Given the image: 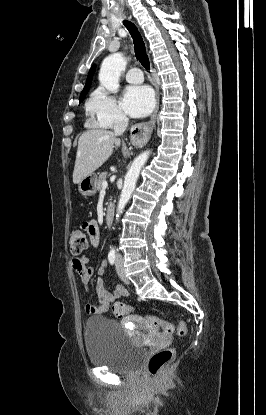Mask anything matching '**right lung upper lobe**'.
I'll return each mask as SVG.
<instances>
[{"label": "right lung upper lobe", "instance_id": "cb5924a9", "mask_svg": "<svg viewBox=\"0 0 266 415\" xmlns=\"http://www.w3.org/2000/svg\"><path fill=\"white\" fill-rule=\"evenodd\" d=\"M94 72H95V65H93L91 67V69L88 73L87 80H86V85H85L80 97L85 96L87 91L89 90Z\"/></svg>", "mask_w": 266, "mask_h": 415}]
</instances>
